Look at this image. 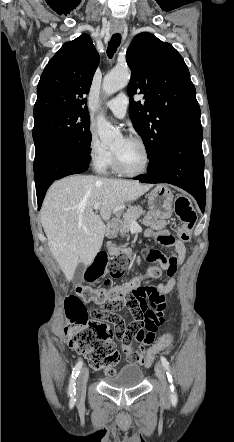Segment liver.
Masks as SVG:
<instances>
[{
  "label": "liver",
  "mask_w": 234,
  "mask_h": 442,
  "mask_svg": "<svg viewBox=\"0 0 234 442\" xmlns=\"http://www.w3.org/2000/svg\"><path fill=\"white\" fill-rule=\"evenodd\" d=\"M152 187L130 180L75 175L51 185L41 209L48 246L66 279L71 281L79 263L89 265L100 251L105 224L112 210L138 199ZM99 202L100 216L93 212Z\"/></svg>",
  "instance_id": "6515ba94"
}]
</instances>
